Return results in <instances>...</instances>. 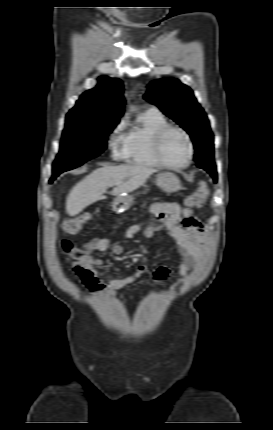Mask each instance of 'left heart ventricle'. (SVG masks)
<instances>
[{"instance_id": "b2bd125f", "label": "left heart ventricle", "mask_w": 273, "mask_h": 430, "mask_svg": "<svg viewBox=\"0 0 273 430\" xmlns=\"http://www.w3.org/2000/svg\"><path fill=\"white\" fill-rule=\"evenodd\" d=\"M162 156L170 164L185 163L188 157V145L180 132L170 131L166 134L162 143Z\"/></svg>"}]
</instances>
